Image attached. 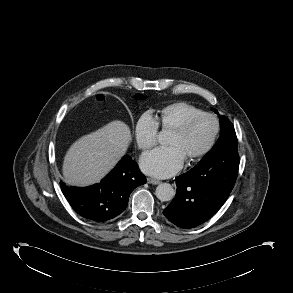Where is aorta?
I'll list each match as a JSON object with an SVG mask.
<instances>
[{
  "label": "aorta",
  "instance_id": "obj_1",
  "mask_svg": "<svg viewBox=\"0 0 293 293\" xmlns=\"http://www.w3.org/2000/svg\"><path fill=\"white\" fill-rule=\"evenodd\" d=\"M165 134L161 132L158 136L159 141L163 142ZM175 191L169 183H161L156 187V197L161 201H170L173 199Z\"/></svg>",
  "mask_w": 293,
  "mask_h": 293
}]
</instances>
